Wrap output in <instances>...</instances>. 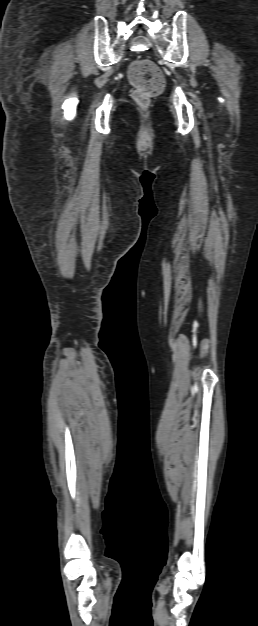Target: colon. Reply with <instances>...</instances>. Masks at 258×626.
Segmentation results:
<instances>
[{
    "mask_svg": "<svg viewBox=\"0 0 258 626\" xmlns=\"http://www.w3.org/2000/svg\"><path fill=\"white\" fill-rule=\"evenodd\" d=\"M129 79L134 86L132 98L141 107H147L151 99L161 93L165 83L159 67L148 59H140L132 63Z\"/></svg>",
    "mask_w": 258,
    "mask_h": 626,
    "instance_id": "colon-1",
    "label": "colon"
}]
</instances>
